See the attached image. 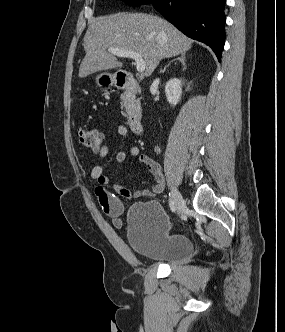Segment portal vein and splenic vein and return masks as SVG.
<instances>
[{
	"label": "portal vein and splenic vein",
	"instance_id": "obj_1",
	"mask_svg": "<svg viewBox=\"0 0 285 332\" xmlns=\"http://www.w3.org/2000/svg\"><path fill=\"white\" fill-rule=\"evenodd\" d=\"M108 51L118 57H129V58H132L133 60H135L136 69L138 72H143L145 70L146 64H145V61L143 60L141 54L134 52V51H127V50L117 49V48H113V47L108 48Z\"/></svg>",
	"mask_w": 285,
	"mask_h": 332
}]
</instances>
